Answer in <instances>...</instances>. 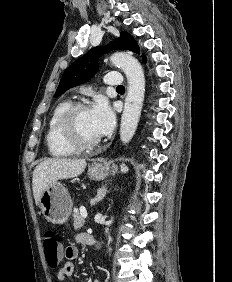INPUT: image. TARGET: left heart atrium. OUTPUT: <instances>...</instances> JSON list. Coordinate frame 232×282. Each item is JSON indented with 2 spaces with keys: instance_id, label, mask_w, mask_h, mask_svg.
<instances>
[{
  "instance_id": "left-heart-atrium-1",
  "label": "left heart atrium",
  "mask_w": 232,
  "mask_h": 282,
  "mask_svg": "<svg viewBox=\"0 0 232 282\" xmlns=\"http://www.w3.org/2000/svg\"><path fill=\"white\" fill-rule=\"evenodd\" d=\"M90 116L93 127L99 136H105L113 130L115 114L106 99L99 98L96 100L90 109Z\"/></svg>"
}]
</instances>
